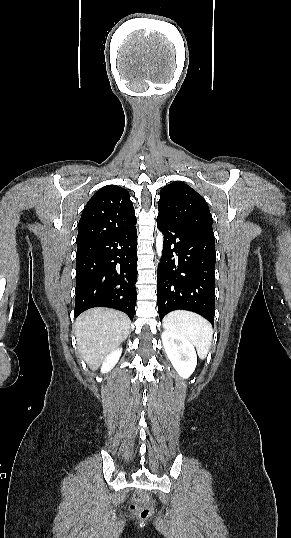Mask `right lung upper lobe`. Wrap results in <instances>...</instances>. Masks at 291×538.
<instances>
[{
    "label": "right lung upper lobe",
    "mask_w": 291,
    "mask_h": 538,
    "mask_svg": "<svg viewBox=\"0 0 291 538\" xmlns=\"http://www.w3.org/2000/svg\"><path fill=\"white\" fill-rule=\"evenodd\" d=\"M135 224L129 192L116 185H106L91 197L82 212L77 246L104 239Z\"/></svg>",
    "instance_id": "cb5924a9"
}]
</instances>
